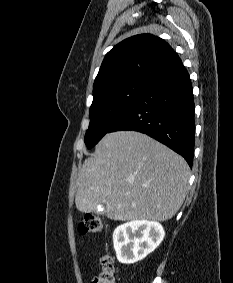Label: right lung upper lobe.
<instances>
[{"instance_id": "1", "label": "right lung upper lobe", "mask_w": 233, "mask_h": 283, "mask_svg": "<svg viewBox=\"0 0 233 283\" xmlns=\"http://www.w3.org/2000/svg\"><path fill=\"white\" fill-rule=\"evenodd\" d=\"M180 63L179 56L163 39L151 34L132 36L106 54L95 78L93 96L130 81L151 82Z\"/></svg>"}]
</instances>
